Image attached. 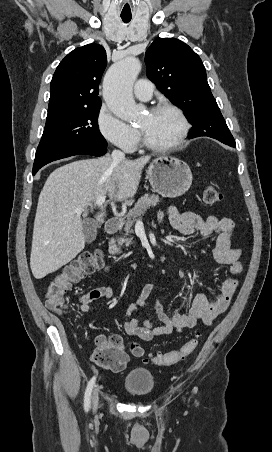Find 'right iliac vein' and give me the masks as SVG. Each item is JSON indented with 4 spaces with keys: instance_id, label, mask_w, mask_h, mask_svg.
<instances>
[{
    "instance_id": "right-iliac-vein-1",
    "label": "right iliac vein",
    "mask_w": 272,
    "mask_h": 452,
    "mask_svg": "<svg viewBox=\"0 0 272 452\" xmlns=\"http://www.w3.org/2000/svg\"><path fill=\"white\" fill-rule=\"evenodd\" d=\"M98 402H99V391H98V389L96 388V389L94 390V393H93V396H92V403H93V408H94V410L97 408Z\"/></svg>"
}]
</instances>
